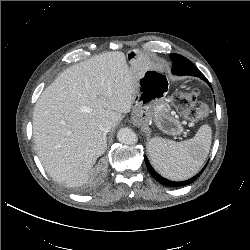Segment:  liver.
I'll list each match as a JSON object with an SVG mask.
<instances>
[{
	"label": "liver",
	"instance_id": "1",
	"mask_svg": "<svg viewBox=\"0 0 250 250\" xmlns=\"http://www.w3.org/2000/svg\"><path fill=\"white\" fill-rule=\"evenodd\" d=\"M145 71L129 68L119 51L96 55L63 71L40 95L33 136L46 172L67 187L85 184L107 148L99 125L115 128L129 113L136 81Z\"/></svg>",
	"mask_w": 250,
	"mask_h": 250
}]
</instances>
